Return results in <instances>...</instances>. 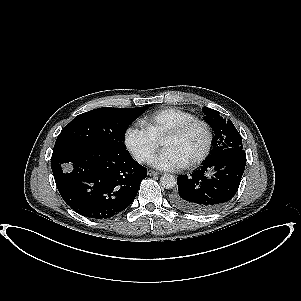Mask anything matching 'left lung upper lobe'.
Instances as JSON below:
<instances>
[{"mask_svg":"<svg viewBox=\"0 0 301 301\" xmlns=\"http://www.w3.org/2000/svg\"><path fill=\"white\" fill-rule=\"evenodd\" d=\"M203 113L205 114L204 120L212 127L215 133L213 149L207 159L229 148H243L241 136L230 120L226 122L225 119L220 117L218 111L208 107L203 108Z\"/></svg>","mask_w":301,"mask_h":301,"instance_id":"obj_1","label":"left lung upper lobe"}]
</instances>
